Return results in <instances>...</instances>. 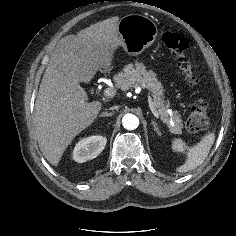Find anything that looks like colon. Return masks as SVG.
I'll use <instances>...</instances> for the list:
<instances>
[{"label":"colon","mask_w":236,"mask_h":236,"mask_svg":"<svg viewBox=\"0 0 236 236\" xmlns=\"http://www.w3.org/2000/svg\"><path fill=\"white\" fill-rule=\"evenodd\" d=\"M162 41L177 58L181 73L188 85L195 86L198 83V74L194 66L195 59L188 51V40L178 33L167 30L162 34ZM208 124V104L205 100L200 99L190 113L186 127L191 132H199L205 130Z\"/></svg>","instance_id":"5ec220e1"}]
</instances>
